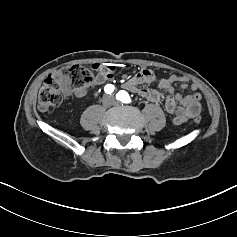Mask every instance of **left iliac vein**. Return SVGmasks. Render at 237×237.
<instances>
[{"instance_id": "obj_1", "label": "left iliac vein", "mask_w": 237, "mask_h": 237, "mask_svg": "<svg viewBox=\"0 0 237 237\" xmlns=\"http://www.w3.org/2000/svg\"><path fill=\"white\" fill-rule=\"evenodd\" d=\"M118 104H119L118 102L114 101V105H118Z\"/></svg>"}]
</instances>
